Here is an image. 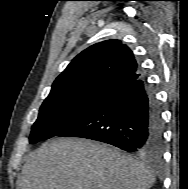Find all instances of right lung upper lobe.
<instances>
[{
  "label": "right lung upper lobe",
  "instance_id": "right-lung-upper-lobe-1",
  "mask_svg": "<svg viewBox=\"0 0 188 189\" xmlns=\"http://www.w3.org/2000/svg\"><path fill=\"white\" fill-rule=\"evenodd\" d=\"M141 77L132 51L119 40L90 46L56 78L49 95L90 89L113 91Z\"/></svg>",
  "mask_w": 188,
  "mask_h": 189
}]
</instances>
